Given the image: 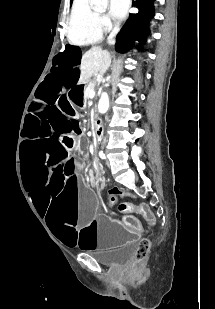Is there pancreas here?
Returning <instances> with one entry per match:
<instances>
[{"label":"pancreas","mask_w":215,"mask_h":309,"mask_svg":"<svg viewBox=\"0 0 215 309\" xmlns=\"http://www.w3.org/2000/svg\"><path fill=\"white\" fill-rule=\"evenodd\" d=\"M96 84H99L97 80H88L87 86L84 88V100H88L89 98V90H94Z\"/></svg>","instance_id":"obj_1"}]
</instances>
